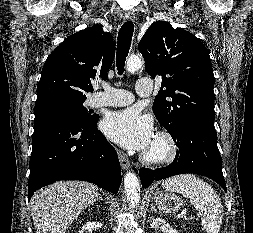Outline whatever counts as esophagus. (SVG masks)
I'll use <instances>...</instances> for the list:
<instances>
[{"label":"esophagus","mask_w":253,"mask_h":233,"mask_svg":"<svg viewBox=\"0 0 253 233\" xmlns=\"http://www.w3.org/2000/svg\"><path fill=\"white\" fill-rule=\"evenodd\" d=\"M134 19H135V15L132 12L127 13L124 17L125 21H133ZM118 157H119V161H120L122 169L124 170L129 169L131 165H130V161L127 155L124 152L119 150Z\"/></svg>","instance_id":"esophagus-1"}]
</instances>
